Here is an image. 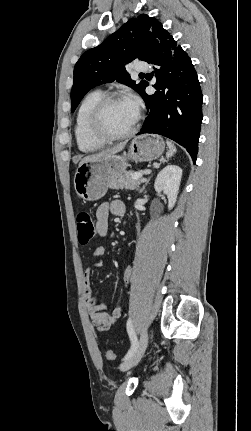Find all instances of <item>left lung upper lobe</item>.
<instances>
[{
  "label": "left lung upper lobe",
  "mask_w": 251,
  "mask_h": 431,
  "mask_svg": "<svg viewBox=\"0 0 251 431\" xmlns=\"http://www.w3.org/2000/svg\"><path fill=\"white\" fill-rule=\"evenodd\" d=\"M170 34L162 23L146 14L128 20L102 44L86 51L74 68L71 90L72 112L93 87L113 82L126 84L141 93L146 81L136 84L126 71V64L135 59L148 62L154 46Z\"/></svg>",
  "instance_id": "5c2ea615"
}]
</instances>
